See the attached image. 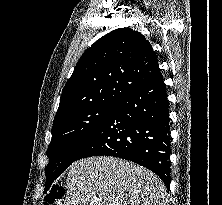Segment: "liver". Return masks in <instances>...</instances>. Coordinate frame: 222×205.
<instances>
[{
  "label": "liver",
  "instance_id": "liver-1",
  "mask_svg": "<svg viewBox=\"0 0 222 205\" xmlns=\"http://www.w3.org/2000/svg\"><path fill=\"white\" fill-rule=\"evenodd\" d=\"M165 192L162 180L142 166L96 156L71 165L65 205H165Z\"/></svg>",
  "mask_w": 222,
  "mask_h": 205
}]
</instances>
